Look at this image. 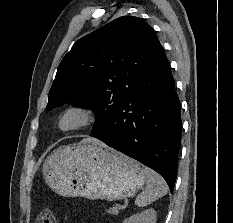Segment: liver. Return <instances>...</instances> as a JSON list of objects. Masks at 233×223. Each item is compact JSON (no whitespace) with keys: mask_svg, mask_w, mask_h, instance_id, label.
<instances>
[{"mask_svg":"<svg viewBox=\"0 0 233 223\" xmlns=\"http://www.w3.org/2000/svg\"><path fill=\"white\" fill-rule=\"evenodd\" d=\"M82 141H95V143H102V141H99V139H95V137H84ZM104 145V143H102Z\"/></svg>","mask_w":233,"mask_h":223,"instance_id":"6515ba94","label":"liver"}]
</instances>
